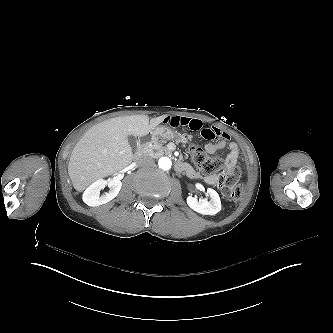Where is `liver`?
Returning <instances> with one entry per match:
<instances>
[{
  "label": "liver",
  "instance_id": "6515ba94",
  "mask_svg": "<svg viewBox=\"0 0 333 333\" xmlns=\"http://www.w3.org/2000/svg\"><path fill=\"white\" fill-rule=\"evenodd\" d=\"M169 115H130L108 119L88 129L74 146L68 163L73 187L84 192L96 181L118 173L133 161L128 138L144 137Z\"/></svg>",
  "mask_w": 333,
  "mask_h": 333
}]
</instances>
